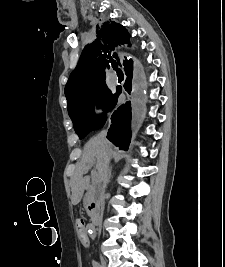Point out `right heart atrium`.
<instances>
[{
	"label": "right heart atrium",
	"instance_id": "obj_1",
	"mask_svg": "<svg viewBox=\"0 0 225 267\" xmlns=\"http://www.w3.org/2000/svg\"><path fill=\"white\" fill-rule=\"evenodd\" d=\"M103 112H104V109H103V107H101V106H100V107H97V108H96V114H97V115H99V116H100V115H102V114H103Z\"/></svg>",
	"mask_w": 225,
	"mask_h": 267
}]
</instances>
